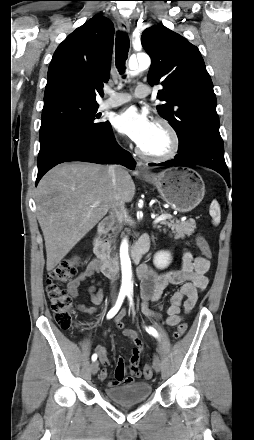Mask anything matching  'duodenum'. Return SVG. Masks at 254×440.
<instances>
[{"label":"duodenum","instance_id":"410a0bca","mask_svg":"<svg viewBox=\"0 0 254 440\" xmlns=\"http://www.w3.org/2000/svg\"><path fill=\"white\" fill-rule=\"evenodd\" d=\"M115 224L113 217H108L98 224L97 232L93 238V250L99 260L100 269L108 278H113L117 274L116 263L109 258L108 248L103 240V235L106 234ZM151 244V239L148 235H144L134 245L131 250V260L133 263H138L144 254L148 251Z\"/></svg>","mask_w":254,"mask_h":440}]
</instances>
